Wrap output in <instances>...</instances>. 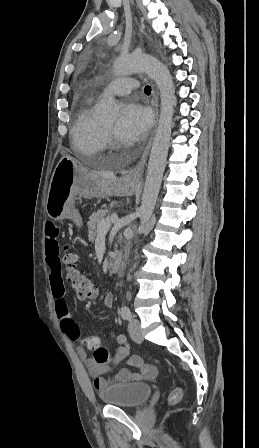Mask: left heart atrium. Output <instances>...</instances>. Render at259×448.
<instances>
[{"instance_id": "obj_1", "label": "left heart atrium", "mask_w": 259, "mask_h": 448, "mask_svg": "<svg viewBox=\"0 0 259 448\" xmlns=\"http://www.w3.org/2000/svg\"><path fill=\"white\" fill-rule=\"evenodd\" d=\"M150 124L149 111L136 101L125 102L116 122V131L123 141L142 139Z\"/></svg>"}]
</instances>
